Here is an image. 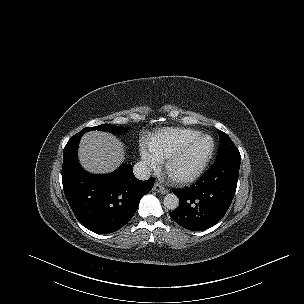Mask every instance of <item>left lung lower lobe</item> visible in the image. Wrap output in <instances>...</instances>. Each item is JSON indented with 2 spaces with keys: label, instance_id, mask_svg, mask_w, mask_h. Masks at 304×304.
<instances>
[{
  "label": "left lung lower lobe",
  "instance_id": "left-lung-lower-lobe-1",
  "mask_svg": "<svg viewBox=\"0 0 304 304\" xmlns=\"http://www.w3.org/2000/svg\"><path fill=\"white\" fill-rule=\"evenodd\" d=\"M240 163L241 156L219 160L195 184L175 190L180 203L170 217L191 231L205 230L218 223L233 200Z\"/></svg>",
  "mask_w": 304,
  "mask_h": 304
}]
</instances>
